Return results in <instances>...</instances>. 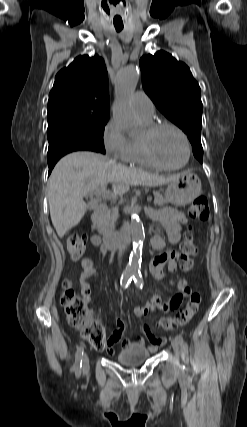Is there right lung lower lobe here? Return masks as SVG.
Returning a JSON list of instances; mask_svg holds the SVG:
<instances>
[{"instance_id":"1","label":"right lung lower lobe","mask_w":247,"mask_h":427,"mask_svg":"<svg viewBox=\"0 0 247 427\" xmlns=\"http://www.w3.org/2000/svg\"><path fill=\"white\" fill-rule=\"evenodd\" d=\"M88 150L99 152L95 147L74 139H55L49 142V148L47 153V162L49 167V174L51 173L56 162L65 154L78 151Z\"/></svg>"}]
</instances>
